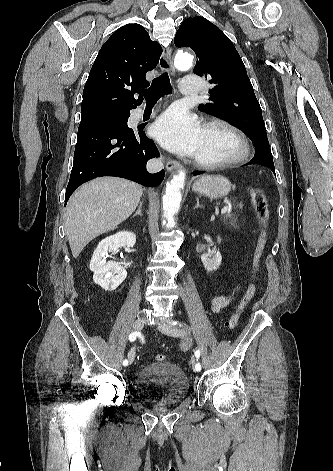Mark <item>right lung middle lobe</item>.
I'll list each match as a JSON object with an SVG mask.
<instances>
[{
  "mask_svg": "<svg viewBox=\"0 0 333 471\" xmlns=\"http://www.w3.org/2000/svg\"><path fill=\"white\" fill-rule=\"evenodd\" d=\"M124 115H125V112L109 114V115L102 116V117H99V118H95V119H91V120H86V121H81L80 124L93 122V121H96V120H98V119L105 118V117H109V116L123 117Z\"/></svg>",
  "mask_w": 333,
  "mask_h": 471,
  "instance_id": "dd1d6c3e",
  "label": "right lung middle lobe"
}]
</instances>
